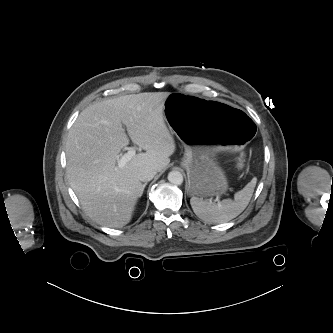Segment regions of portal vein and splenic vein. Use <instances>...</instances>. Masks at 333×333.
Returning a JSON list of instances; mask_svg holds the SVG:
<instances>
[{"label":"portal vein and splenic vein","instance_id":"18ae733b","mask_svg":"<svg viewBox=\"0 0 333 333\" xmlns=\"http://www.w3.org/2000/svg\"><path fill=\"white\" fill-rule=\"evenodd\" d=\"M136 154L135 149L129 150L127 153L122 155L118 160V166L123 167L127 162H129Z\"/></svg>","mask_w":333,"mask_h":333}]
</instances>
